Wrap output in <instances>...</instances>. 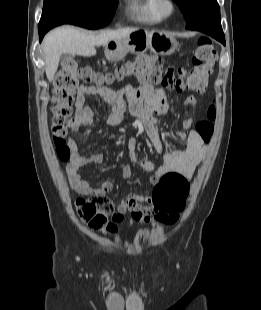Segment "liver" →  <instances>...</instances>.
<instances>
[{
	"instance_id": "1",
	"label": "liver",
	"mask_w": 261,
	"mask_h": 310,
	"mask_svg": "<svg viewBox=\"0 0 261 310\" xmlns=\"http://www.w3.org/2000/svg\"><path fill=\"white\" fill-rule=\"evenodd\" d=\"M137 28L104 31L94 35L74 27H60L50 31L43 42L45 72L51 82L57 71L62 54L90 57L96 55L95 46H107L110 41L122 40Z\"/></svg>"
}]
</instances>
